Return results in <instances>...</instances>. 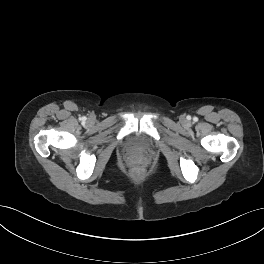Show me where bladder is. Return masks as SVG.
Here are the masks:
<instances>
[{
	"label": "bladder",
	"instance_id": "obj_1",
	"mask_svg": "<svg viewBox=\"0 0 264 264\" xmlns=\"http://www.w3.org/2000/svg\"><path fill=\"white\" fill-rule=\"evenodd\" d=\"M149 148L148 141L141 135L133 136L126 144V149L132 153H145Z\"/></svg>",
	"mask_w": 264,
	"mask_h": 264
}]
</instances>
